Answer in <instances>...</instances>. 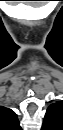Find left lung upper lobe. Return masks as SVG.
<instances>
[{"label":"left lung upper lobe","instance_id":"obj_1","mask_svg":"<svg viewBox=\"0 0 63 130\" xmlns=\"http://www.w3.org/2000/svg\"><path fill=\"white\" fill-rule=\"evenodd\" d=\"M42 130H63V102L51 104L45 114Z\"/></svg>","mask_w":63,"mask_h":130}]
</instances>
